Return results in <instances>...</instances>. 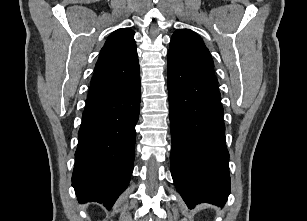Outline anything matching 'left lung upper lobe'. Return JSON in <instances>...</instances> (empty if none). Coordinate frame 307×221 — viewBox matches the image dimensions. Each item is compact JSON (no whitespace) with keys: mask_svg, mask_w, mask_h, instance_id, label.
<instances>
[{"mask_svg":"<svg viewBox=\"0 0 307 221\" xmlns=\"http://www.w3.org/2000/svg\"><path fill=\"white\" fill-rule=\"evenodd\" d=\"M168 54L174 56L194 73L218 86L214 63L202 39L189 29L174 32Z\"/></svg>","mask_w":307,"mask_h":221,"instance_id":"left-lung-upper-lobe-1","label":"left lung upper lobe"}]
</instances>
